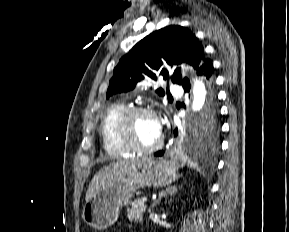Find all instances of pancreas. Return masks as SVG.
Segmentation results:
<instances>
[{"label": "pancreas", "mask_w": 289, "mask_h": 232, "mask_svg": "<svg viewBox=\"0 0 289 232\" xmlns=\"http://www.w3.org/2000/svg\"><path fill=\"white\" fill-rule=\"evenodd\" d=\"M146 206L142 201H133L131 207L127 209V217L132 222H141Z\"/></svg>", "instance_id": "obj_1"}]
</instances>
